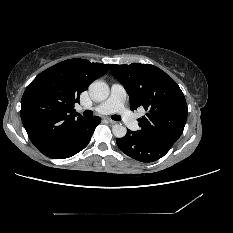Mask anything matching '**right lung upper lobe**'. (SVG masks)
Returning a JSON list of instances; mask_svg holds the SVG:
<instances>
[{"label":"right lung upper lobe","instance_id":"1","mask_svg":"<svg viewBox=\"0 0 233 233\" xmlns=\"http://www.w3.org/2000/svg\"><path fill=\"white\" fill-rule=\"evenodd\" d=\"M109 64L85 59L62 61L41 72L21 99V119L29 139L41 150L85 119L74 109L89 84L106 74Z\"/></svg>","mask_w":233,"mask_h":233}]
</instances>
